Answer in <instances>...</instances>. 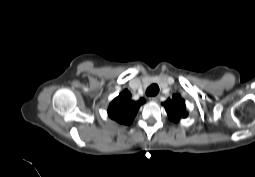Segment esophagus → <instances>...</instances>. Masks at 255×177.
I'll return each instance as SVG.
<instances>
[{
    "instance_id": "obj_1",
    "label": "esophagus",
    "mask_w": 255,
    "mask_h": 177,
    "mask_svg": "<svg viewBox=\"0 0 255 177\" xmlns=\"http://www.w3.org/2000/svg\"><path fill=\"white\" fill-rule=\"evenodd\" d=\"M150 100L153 101V102H157L159 100V97L154 96V97H151Z\"/></svg>"
}]
</instances>
